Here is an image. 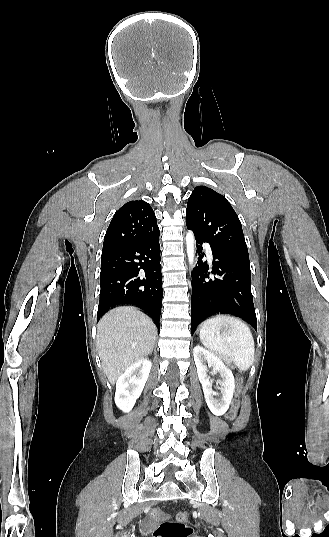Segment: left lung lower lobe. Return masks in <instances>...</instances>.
I'll list each match as a JSON object with an SVG mask.
<instances>
[{
    "label": "left lung lower lobe",
    "instance_id": "left-lung-lower-lobe-1",
    "mask_svg": "<svg viewBox=\"0 0 329 537\" xmlns=\"http://www.w3.org/2000/svg\"><path fill=\"white\" fill-rule=\"evenodd\" d=\"M195 239L196 253L201 255L205 241L196 236ZM212 254V270L216 276L207 272V261H202L204 253L192 271L191 333L202 321L215 314L236 315L257 330L250 263L214 248Z\"/></svg>",
    "mask_w": 329,
    "mask_h": 537
}]
</instances>
